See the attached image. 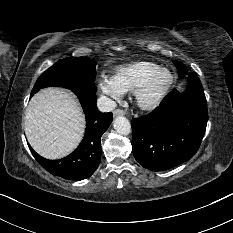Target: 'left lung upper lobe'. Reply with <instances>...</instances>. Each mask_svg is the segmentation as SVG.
Segmentation results:
<instances>
[{"label": "left lung upper lobe", "mask_w": 233, "mask_h": 233, "mask_svg": "<svg viewBox=\"0 0 233 233\" xmlns=\"http://www.w3.org/2000/svg\"><path fill=\"white\" fill-rule=\"evenodd\" d=\"M174 64L178 70L179 77L183 78L187 73V69H186L185 65L179 61H174Z\"/></svg>", "instance_id": "1"}]
</instances>
